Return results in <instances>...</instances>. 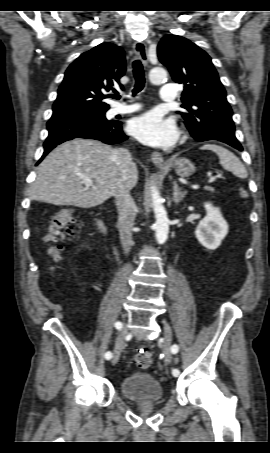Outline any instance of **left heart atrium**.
<instances>
[{
    "label": "left heart atrium",
    "mask_w": 270,
    "mask_h": 453,
    "mask_svg": "<svg viewBox=\"0 0 270 453\" xmlns=\"http://www.w3.org/2000/svg\"><path fill=\"white\" fill-rule=\"evenodd\" d=\"M128 129L130 134L142 143L157 147H169L178 137L173 120L155 112L132 119Z\"/></svg>",
    "instance_id": "obj_1"
}]
</instances>
